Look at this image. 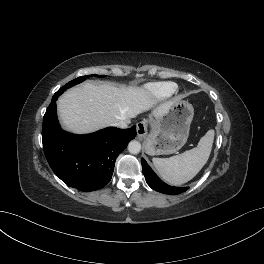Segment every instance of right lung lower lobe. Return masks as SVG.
Wrapping results in <instances>:
<instances>
[{
	"label": "right lung lower lobe",
	"instance_id": "98d812e1",
	"mask_svg": "<svg viewBox=\"0 0 264 264\" xmlns=\"http://www.w3.org/2000/svg\"><path fill=\"white\" fill-rule=\"evenodd\" d=\"M58 94L43 118L45 156L54 173L67 185L88 192L103 188L112 178L116 158L136 136V127H108L87 135L63 131L56 115Z\"/></svg>",
	"mask_w": 264,
	"mask_h": 264
}]
</instances>
